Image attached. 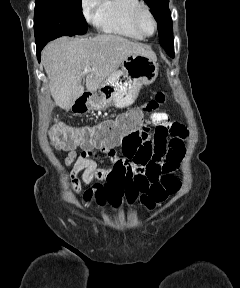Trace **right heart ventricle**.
Masks as SVG:
<instances>
[{"instance_id":"1","label":"right heart ventricle","mask_w":240,"mask_h":288,"mask_svg":"<svg viewBox=\"0 0 240 288\" xmlns=\"http://www.w3.org/2000/svg\"><path fill=\"white\" fill-rule=\"evenodd\" d=\"M140 0H102L97 26L108 34L125 36L135 40L143 37L131 24V13Z\"/></svg>"}]
</instances>
